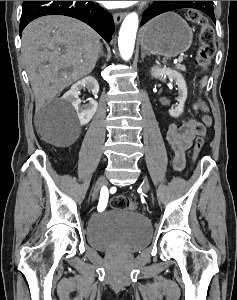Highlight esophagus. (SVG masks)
<instances>
[{
  "instance_id": "34e87169",
  "label": "esophagus",
  "mask_w": 237,
  "mask_h": 300,
  "mask_svg": "<svg viewBox=\"0 0 237 300\" xmlns=\"http://www.w3.org/2000/svg\"><path fill=\"white\" fill-rule=\"evenodd\" d=\"M124 16H125V13H115L113 15V19L116 24H119L122 21V19L124 18Z\"/></svg>"
}]
</instances>
